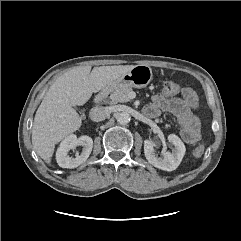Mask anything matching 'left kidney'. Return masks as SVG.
Instances as JSON below:
<instances>
[{"mask_svg": "<svg viewBox=\"0 0 241 241\" xmlns=\"http://www.w3.org/2000/svg\"><path fill=\"white\" fill-rule=\"evenodd\" d=\"M168 141L175 146V149L172 152H164L163 157H158L154 151L153 141L145 140L144 154L148 162L154 167L164 171H173L181 163L186 148L182 140L175 134H170L168 136Z\"/></svg>", "mask_w": 241, "mask_h": 241, "instance_id": "5707ae66", "label": "left kidney"}]
</instances>
